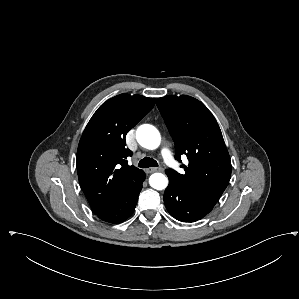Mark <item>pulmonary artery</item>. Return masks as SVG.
Here are the masks:
<instances>
[{
	"label": "pulmonary artery",
	"instance_id": "1",
	"mask_svg": "<svg viewBox=\"0 0 299 299\" xmlns=\"http://www.w3.org/2000/svg\"><path fill=\"white\" fill-rule=\"evenodd\" d=\"M161 154H162V157H163L164 161H165L168 165H170V166L176 168V165H175V163H174V159H173L172 152H171V150H170L169 148H167V147L164 146V147L161 149Z\"/></svg>",
	"mask_w": 299,
	"mask_h": 299
}]
</instances>
